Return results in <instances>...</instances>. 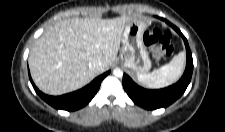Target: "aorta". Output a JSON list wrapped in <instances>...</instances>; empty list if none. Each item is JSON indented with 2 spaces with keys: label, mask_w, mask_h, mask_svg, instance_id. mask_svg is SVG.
Segmentation results:
<instances>
[{
  "label": "aorta",
  "mask_w": 225,
  "mask_h": 132,
  "mask_svg": "<svg viewBox=\"0 0 225 132\" xmlns=\"http://www.w3.org/2000/svg\"><path fill=\"white\" fill-rule=\"evenodd\" d=\"M113 75L116 77H122L123 76V71L121 69H114Z\"/></svg>",
  "instance_id": "obj_1"
}]
</instances>
